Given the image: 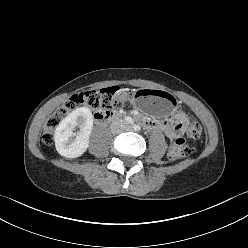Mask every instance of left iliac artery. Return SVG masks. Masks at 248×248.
<instances>
[{
    "instance_id": "1",
    "label": "left iliac artery",
    "mask_w": 248,
    "mask_h": 248,
    "mask_svg": "<svg viewBox=\"0 0 248 248\" xmlns=\"http://www.w3.org/2000/svg\"><path fill=\"white\" fill-rule=\"evenodd\" d=\"M133 128L136 130V131H139L141 129V127L139 125H134Z\"/></svg>"
}]
</instances>
